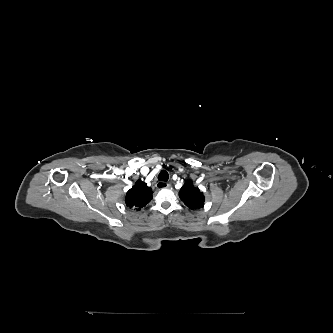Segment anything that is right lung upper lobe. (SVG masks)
<instances>
[{
	"label": "right lung upper lobe",
	"instance_id": "obj_1",
	"mask_svg": "<svg viewBox=\"0 0 333 333\" xmlns=\"http://www.w3.org/2000/svg\"><path fill=\"white\" fill-rule=\"evenodd\" d=\"M152 194V189L146 183L138 180L127 192L125 203L129 208L141 209L151 201Z\"/></svg>",
	"mask_w": 333,
	"mask_h": 333
}]
</instances>
